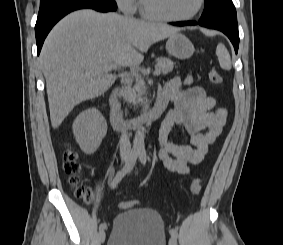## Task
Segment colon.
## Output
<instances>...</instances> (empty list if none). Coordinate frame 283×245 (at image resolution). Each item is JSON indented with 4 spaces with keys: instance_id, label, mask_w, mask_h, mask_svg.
<instances>
[{
    "instance_id": "obj_1",
    "label": "colon",
    "mask_w": 283,
    "mask_h": 245,
    "mask_svg": "<svg viewBox=\"0 0 283 245\" xmlns=\"http://www.w3.org/2000/svg\"><path fill=\"white\" fill-rule=\"evenodd\" d=\"M209 80L213 84H221L223 82L222 75L216 70H210ZM64 169L69 176L70 183L73 186L74 194L76 197L82 199L85 202L92 200L91 191L84 186L79 180V173L81 170L80 163L78 161L77 154L70 148H67L64 154ZM202 189L201 180L194 178L189 185V191L192 195L196 196L200 194ZM122 208H131L135 206L134 202L125 201L119 204Z\"/></svg>"
}]
</instances>
